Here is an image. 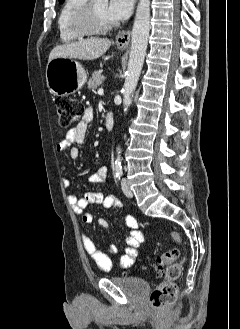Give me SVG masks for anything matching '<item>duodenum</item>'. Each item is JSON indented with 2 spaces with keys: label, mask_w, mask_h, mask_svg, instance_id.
<instances>
[{
  "label": "duodenum",
  "mask_w": 240,
  "mask_h": 329,
  "mask_svg": "<svg viewBox=\"0 0 240 329\" xmlns=\"http://www.w3.org/2000/svg\"><path fill=\"white\" fill-rule=\"evenodd\" d=\"M105 126L108 131H111L114 127V116L111 111H107L105 115Z\"/></svg>",
  "instance_id": "duodenum-1"
}]
</instances>
